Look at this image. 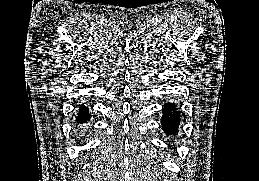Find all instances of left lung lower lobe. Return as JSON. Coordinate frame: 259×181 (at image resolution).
Instances as JSON below:
<instances>
[{"label":"left lung lower lobe","mask_w":259,"mask_h":181,"mask_svg":"<svg viewBox=\"0 0 259 181\" xmlns=\"http://www.w3.org/2000/svg\"><path fill=\"white\" fill-rule=\"evenodd\" d=\"M162 109L163 116L161 124L163 131L167 135H176L180 124V112L178 111L176 104L167 102Z\"/></svg>","instance_id":"0a47b994"}]
</instances>
